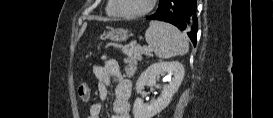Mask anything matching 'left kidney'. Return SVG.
<instances>
[{"label": "left kidney", "mask_w": 273, "mask_h": 118, "mask_svg": "<svg viewBox=\"0 0 273 118\" xmlns=\"http://www.w3.org/2000/svg\"><path fill=\"white\" fill-rule=\"evenodd\" d=\"M184 73V67L178 61L159 62L149 66L136 82L137 93L141 92L145 85L154 86L156 78L160 74H168L170 82L163 86L160 97L151 101L149 104L137 98L133 105L134 118H152L165 109L171 102L172 96L180 87Z\"/></svg>", "instance_id": "5707ae66"}]
</instances>
